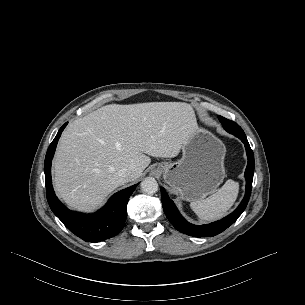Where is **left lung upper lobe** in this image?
<instances>
[{
	"instance_id": "left-lung-upper-lobe-1",
	"label": "left lung upper lobe",
	"mask_w": 305,
	"mask_h": 305,
	"mask_svg": "<svg viewBox=\"0 0 305 305\" xmlns=\"http://www.w3.org/2000/svg\"><path fill=\"white\" fill-rule=\"evenodd\" d=\"M218 119L222 123L224 129L233 135H245L242 128L235 122L230 121L222 116H218Z\"/></svg>"
}]
</instances>
